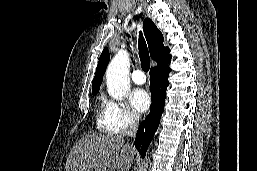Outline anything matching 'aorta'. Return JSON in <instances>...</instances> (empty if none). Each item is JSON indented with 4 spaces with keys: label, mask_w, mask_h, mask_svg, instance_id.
<instances>
[{
    "label": "aorta",
    "mask_w": 257,
    "mask_h": 171,
    "mask_svg": "<svg viewBox=\"0 0 257 171\" xmlns=\"http://www.w3.org/2000/svg\"><path fill=\"white\" fill-rule=\"evenodd\" d=\"M128 68V54L122 51L108 65L106 84L109 95L114 99H122L129 89Z\"/></svg>",
    "instance_id": "1"
}]
</instances>
